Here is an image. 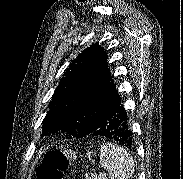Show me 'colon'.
<instances>
[{
  "label": "colon",
  "mask_w": 183,
  "mask_h": 179,
  "mask_svg": "<svg viewBox=\"0 0 183 179\" xmlns=\"http://www.w3.org/2000/svg\"><path fill=\"white\" fill-rule=\"evenodd\" d=\"M74 154L70 150L52 149L43 157L36 174L38 179H63Z\"/></svg>",
  "instance_id": "obj_1"
}]
</instances>
